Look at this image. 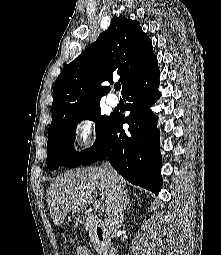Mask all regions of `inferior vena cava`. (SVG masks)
<instances>
[{"mask_svg":"<svg viewBox=\"0 0 221 255\" xmlns=\"http://www.w3.org/2000/svg\"><path fill=\"white\" fill-rule=\"evenodd\" d=\"M103 168L109 179L113 178V168L109 162H104ZM123 192L120 187H116L113 191L112 198L108 204L105 214L106 229L111 237H115L118 228L123 222Z\"/></svg>","mask_w":221,"mask_h":255,"instance_id":"obj_1","label":"inferior vena cava"}]
</instances>
